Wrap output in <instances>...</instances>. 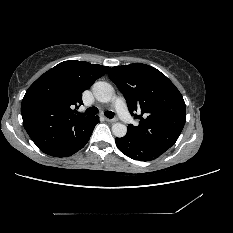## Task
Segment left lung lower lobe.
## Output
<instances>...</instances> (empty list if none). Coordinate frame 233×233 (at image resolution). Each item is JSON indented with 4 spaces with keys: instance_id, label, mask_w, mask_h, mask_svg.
<instances>
[{
    "instance_id": "left-lung-lower-lobe-1",
    "label": "left lung lower lobe",
    "mask_w": 233,
    "mask_h": 233,
    "mask_svg": "<svg viewBox=\"0 0 233 233\" xmlns=\"http://www.w3.org/2000/svg\"><path fill=\"white\" fill-rule=\"evenodd\" d=\"M115 141L117 147L123 154L139 161H150L164 153L162 150L151 148L137 142L127 134L122 138H116Z\"/></svg>"
}]
</instances>
